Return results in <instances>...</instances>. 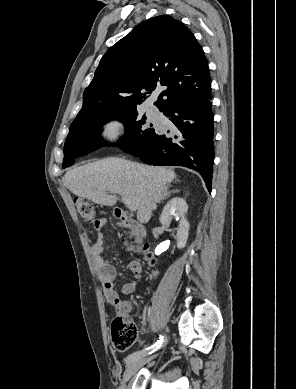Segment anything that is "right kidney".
<instances>
[{
	"mask_svg": "<svg viewBox=\"0 0 296 389\" xmlns=\"http://www.w3.org/2000/svg\"><path fill=\"white\" fill-rule=\"evenodd\" d=\"M187 210L186 201L183 198L174 197L164 206L159 219L162 226L165 227L170 226L172 217L179 221L176 233L178 249H183L186 246L189 236V222L185 218Z\"/></svg>",
	"mask_w": 296,
	"mask_h": 389,
	"instance_id": "1",
	"label": "right kidney"
}]
</instances>
